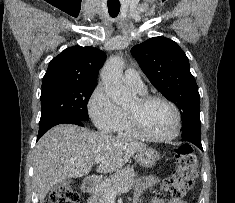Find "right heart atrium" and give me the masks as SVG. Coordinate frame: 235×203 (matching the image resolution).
<instances>
[{"label":"right heart atrium","mask_w":235,"mask_h":203,"mask_svg":"<svg viewBox=\"0 0 235 203\" xmlns=\"http://www.w3.org/2000/svg\"><path fill=\"white\" fill-rule=\"evenodd\" d=\"M87 109L96 128L104 133L113 132L121 118V108L101 84L97 85L90 95Z\"/></svg>","instance_id":"d8ad5b80"}]
</instances>
